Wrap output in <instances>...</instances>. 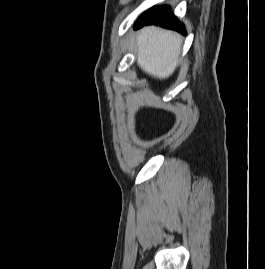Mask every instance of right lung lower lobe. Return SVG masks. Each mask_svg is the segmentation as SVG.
Returning <instances> with one entry per match:
<instances>
[{"label": "right lung lower lobe", "instance_id": "98d812e1", "mask_svg": "<svg viewBox=\"0 0 265 269\" xmlns=\"http://www.w3.org/2000/svg\"><path fill=\"white\" fill-rule=\"evenodd\" d=\"M149 24L159 25L186 34L184 25L170 12L169 6L152 7L137 20L134 29Z\"/></svg>", "mask_w": 265, "mask_h": 269}]
</instances>
